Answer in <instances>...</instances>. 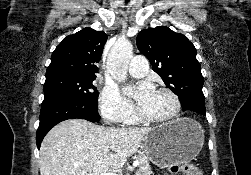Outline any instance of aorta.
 Instances as JSON below:
<instances>
[{"label":"aorta","mask_w":251,"mask_h":175,"mask_svg":"<svg viewBox=\"0 0 251 175\" xmlns=\"http://www.w3.org/2000/svg\"><path fill=\"white\" fill-rule=\"evenodd\" d=\"M133 58V46L131 42H116L111 48L107 58V72L116 82H125L129 62Z\"/></svg>","instance_id":"1"}]
</instances>
